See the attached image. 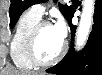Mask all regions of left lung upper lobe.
<instances>
[{"label": "left lung upper lobe", "instance_id": "left-lung-upper-lobe-1", "mask_svg": "<svg viewBox=\"0 0 102 75\" xmlns=\"http://www.w3.org/2000/svg\"><path fill=\"white\" fill-rule=\"evenodd\" d=\"M46 0H11V6L9 9L10 14V28H13L16 24L18 18L22 14V12L28 7L45 2ZM60 5V4H59ZM73 6L60 5V11L66 18V20L70 17L73 12Z\"/></svg>", "mask_w": 102, "mask_h": 75}]
</instances>
